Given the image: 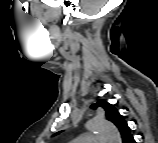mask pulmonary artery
Here are the masks:
<instances>
[{
  "mask_svg": "<svg viewBox=\"0 0 158 143\" xmlns=\"http://www.w3.org/2000/svg\"><path fill=\"white\" fill-rule=\"evenodd\" d=\"M80 140L83 142H93V141H97V140H101L95 136H91V135H83L80 137Z\"/></svg>",
  "mask_w": 158,
  "mask_h": 143,
  "instance_id": "e3ab8cb5",
  "label": "pulmonary artery"
}]
</instances>
